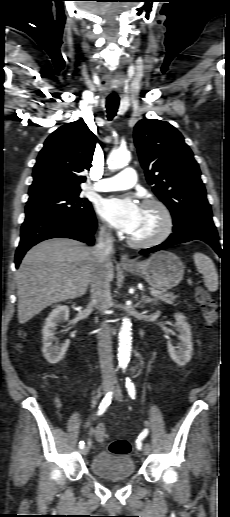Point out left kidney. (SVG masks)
Returning a JSON list of instances; mask_svg holds the SVG:
<instances>
[{"label": "left kidney", "mask_w": 230, "mask_h": 517, "mask_svg": "<svg viewBox=\"0 0 230 517\" xmlns=\"http://www.w3.org/2000/svg\"><path fill=\"white\" fill-rule=\"evenodd\" d=\"M176 323L174 325L179 333L177 346L168 342L167 348L172 360L179 366L186 365L192 357L193 344L190 325L186 322V317L182 313H175Z\"/></svg>", "instance_id": "5707ae66"}]
</instances>
